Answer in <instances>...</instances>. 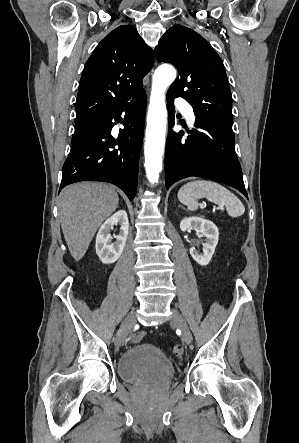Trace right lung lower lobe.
Returning <instances> with one entry per match:
<instances>
[{"mask_svg": "<svg viewBox=\"0 0 299 443\" xmlns=\"http://www.w3.org/2000/svg\"><path fill=\"white\" fill-rule=\"evenodd\" d=\"M146 103L143 89L97 117L98 126L73 144L62 169L60 190L79 181H103L118 186L130 200L134 199ZM116 123L124 125L118 138L111 136Z\"/></svg>", "mask_w": 299, "mask_h": 443, "instance_id": "98d812e1", "label": "right lung lower lobe"}]
</instances>
